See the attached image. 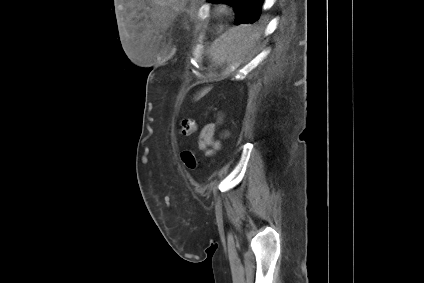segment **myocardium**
Instances as JSON below:
<instances>
[{
    "label": "myocardium",
    "mask_w": 424,
    "mask_h": 283,
    "mask_svg": "<svg viewBox=\"0 0 424 283\" xmlns=\"http://www.w3.org/2000/svg\"><path fill=\"white\" fill-rule=\"evenodd\" d=\"M219 10L222 12L225 11V6L224 5L219 6Z\"/></svg>",
    "instance_id": "myocardium-1"
}]
</instances>
